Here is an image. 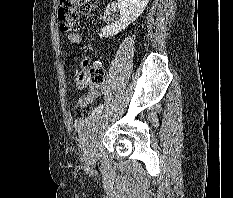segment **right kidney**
<instances>
[{
	"label": "right kidney",
	"mask_w": 233,
	"mask_h": 198,
	"mask_svg": "<svg viewBox=\"0 0 233 198\" xmlns=\"http://www.w3.org/2000/svg\"><path fill=\"white\" fill-rule=\"evenodd\" d=\"M148 2L149 0H118L120 19L114 25L103 27L99 36L107 38L117 35L143 13Z\"/></svg>",
	"instance_id": "1"
}]
</instances>
